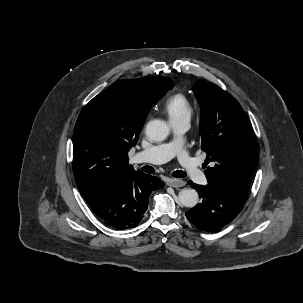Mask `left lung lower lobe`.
Segmentation results:
<instances>
[{
  "mask_svg": "<svg viewBox=\"0 0 303 303\" xmlns=\"http://www.w3.org/2000/svg\"><path fill=\"white\" fill-rule=\"evenodd\" d=\"M197 190L201 203L186 212V217L198 229L215 231L231 222L244 207L246 200L224 187L208 183L201 186L189 181Z\"/></svg>",
  "mask_w": 303,
  "mask_h": 303,
  "instance_id": "1",
  "label": "left lung lower lobe"
}]
</instances>
